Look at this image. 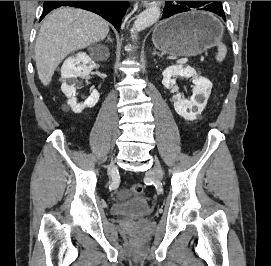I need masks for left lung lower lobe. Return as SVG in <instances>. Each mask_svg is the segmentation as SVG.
Returning <instances> with one entry per match:
<instances>
[{
	"label": "left lung lower lobe",
	"mask_w": 271,
	"mask_h": 266,
	"mask_svg": "<svg viewBox=\"0 0 271 266\" xmlns=\"http://www.w3.org/2000/svg\"><path fill=\"white\" fill-rule=\"evenodd\" d=\"M192 9L205 10L213 12L226 21L225 13L220 1H165L162 18H169L170 16L186 12Z\"/></svg>",
	"instance_id": "1"
}]
</instances>
